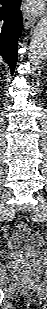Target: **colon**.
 Instances as JSON below:
<instances>
[{"label": "colon", "mask_w": 47, "mask_h": 309, "mask_svg": "<svg viewBox=\"0 0 47 309\" xmlns=\"http://www.w3.org/2000/svg\"><path fill=\"white\" fill-rule=\"evenodd\" d=\"M27 225L25 224V223H20V225H19V227L21 228V229H23V228H25Z\"/></svg>", "instance_id": "obj_1"}]
</instances>
